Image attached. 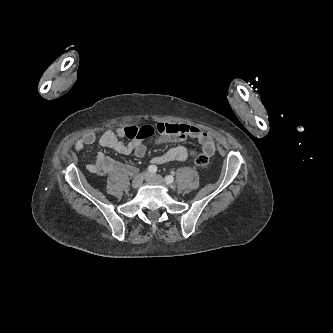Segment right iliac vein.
<instances>
[{
  "label": "right iliac vein",
  "instance_id": "63e3f726",
  "mask_svg": "<svg viewBox=\"0 0 333 333\" xmlns=\"http://www.w3.org/2000/svg\"><path fill=\"white\" fill-rule=\"evenodd\" d=\"M145 177H146V173H141V174H138L137 176H135V178L132 181V187L135 189L139 188L142 185Z\"/></svg>",
  "mask_w": 333,
  "mask_h": 333
}]
</instances>
